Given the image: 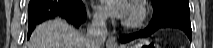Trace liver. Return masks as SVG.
<instances>
[{
    "label": "liver",
    "instance_id": "liver-1",
    "mask_svg": "<svg viewBox=\"0 0 213 48\" xmlns=\"http://www.w3.org/2000/svg\"><path fill=\"white\" fill-rule=\"evenodd\" d=\"M24 48H87L85 36L65 20L46 21L33 31Z\"/></svg>",
    "mask_w": 213,
    "mask_h": 48
}]
</instances>
